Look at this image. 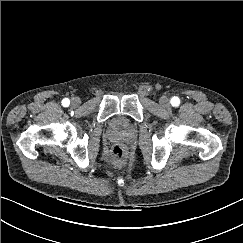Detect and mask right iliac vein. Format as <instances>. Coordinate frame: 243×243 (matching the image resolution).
Wrapping results in <instances>:
<instances>
[{
  "label": "right iliac vein",
  "instance_id": "obj_1",
  "mask_svg": "<svg viewBox=\"0 0 243 243\" xmlns=\"http://www.w3.org/2000/svg\"><path fill=\"white\" fill-rule=\"evenodd\" d=\"M80 99L78 98V97H75V98H73L72 100H71V104L73 105V106H78L79 104H80Z\"/></svg>",
  "mask_w": 243,
  "mask_h": 243
}]
</instances>
